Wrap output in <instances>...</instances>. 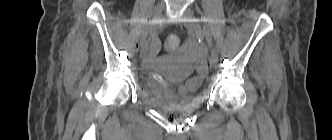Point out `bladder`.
<instances>
[{
  "mask_svg": "<svg viewBox=\"0 0 332 140\" xmlns=\"http://www.w3.org/2000/svg\"><path fill=\"white\" fill-rule=\"evenodd\" d=\"M203 84L201 78L188 79L176 92L152 89L154 101L163 109L170 111L183 110L194 98Z\"/></svg>",
  "mask_w": 332,
  "mask_h": 140,
  "instance_id": "1",
  "label": "bladder"
}]
</instances>
